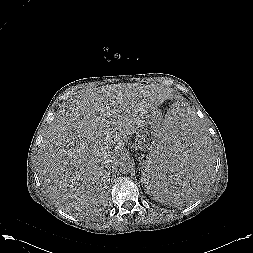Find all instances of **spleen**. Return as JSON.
Masks as SVG:
<instances>
[{"label":"spleen","instance_id":"spleen-1","mask_svg":"<svg viewBox=\"0 0 253 253\" xmlns=\"http://www.w3.org/2000/svg\"><path fill=\"white\" fill-rule=\"evenodd\" d=\"M211 176V146L199 115L187 107L171 110L140 166L141 183L155 200L179 203L193 198Z\"/></svg>","mask_w":253,"mask_h":253}]
</instances>
